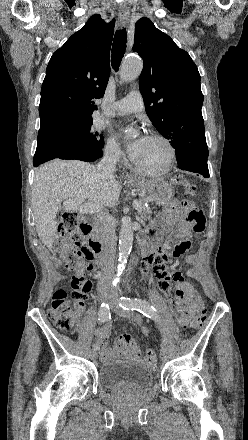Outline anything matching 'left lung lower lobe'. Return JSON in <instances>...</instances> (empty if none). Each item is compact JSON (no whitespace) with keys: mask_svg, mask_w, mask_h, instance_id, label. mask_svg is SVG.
<instances>
[{"mask_svg":"<svg viewBox=\"0 0 248 440\" xmlns=\"http://www.w3.org/2000/svg\"><path fill=\"white\" fill-rule=\"evenodd\" d=\"M178 168L203 175L205 178L209 177V170L207 165V158L199 157L195 159L178 161Z\"/></svg>","mask_w":248,"mask_h":440,"instance_id":"1","label":"left lung lower lobe"}]
</instances>
